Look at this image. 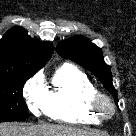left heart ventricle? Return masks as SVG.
<instances>
[{
    "label": "left heart ventricle",
    "instance_id": "b2bd125f",
    "mask_svg": "<svg viewBox=\"0 0 136 136\" xmlns=\"http://www.w3.org/2000/svg\"><path fill=\"white\" fill-rule=\"evenodd\" d=\"M104 110H105L106 112L109 111V108H108L107 105L104 106Z\"/></svg>",
    "mask_w": 136,
    "mask_h": 136
}]
</instances>
